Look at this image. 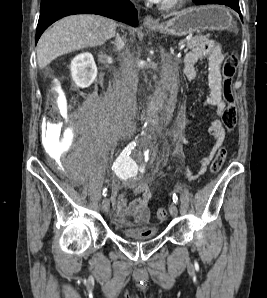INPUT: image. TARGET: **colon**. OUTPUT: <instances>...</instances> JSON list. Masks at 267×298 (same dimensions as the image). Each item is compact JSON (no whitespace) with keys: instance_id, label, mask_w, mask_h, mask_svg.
<instances>
[{"instance_id":"1","label":"colon","mask_w":267,"mask_h":298,"mask_svg":"<svg viewBox=\"0 0 267 298\" xmlns=\"http://www.w3.org/2000/svg\"><path fill=\"white\" fill-rule=\"evenodd\" d=\"M237 65H238L237 55L235 53H232L226 57L222 68L223 96L227 105L223 115V123L228 130H232L235 127L236 121H237L234 98L231 90L232 78L235 75ZM58 122H59V118L56 114L55 105L50 104L48 108L47 117H46V123L47 125H56ZM226 154H227L226 148L220 147L210 166L211 173L216 174L221 170L225 162ZM166 216H167V213L164 208H159L156 211V217L158 220L163 221L166 218Z\"/></svg>"}]
</instances>
